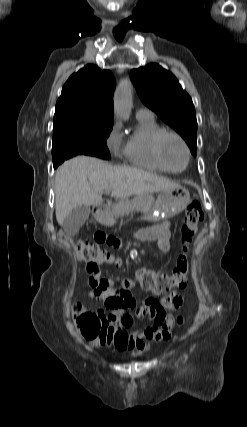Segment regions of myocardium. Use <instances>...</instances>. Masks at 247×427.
Returning a JSON list of instances; mask_svg holds the SVG:
<instances>
[{"label": "myocardium", "mask_w": 247, "mask_h": 427, "mask_svg": "<svg viewBox=\"0 0 247 427\" xmlns=\"http://www.w3.org/2000/svg\"><path fill=\"white\" fill-rule=\"evenodd\" d=\"M169 137L177 139L181 143V145L183 146V148L185 149V152H186V163H185L183 168L178 169V170L170 167L164 158L163 144H164V141ZM154 151H155V155H156L157 160L168 172L179 173V172L184 171L187 168V166L189 165L190 158H191V152H190L189 146H188L187 142L185 141V139L179 133H177L175 131H170V130L162 131L155 139Z\"/></svg>", "instance_id": "myocardium-1"}]
</instances>
